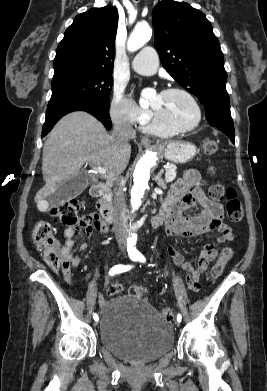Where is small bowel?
Returning <instances> with one entry per match:
<instances>
[{
	"label": "small bowel",
	"instance_id": "c3829d8e",
	"mask_svg": "<svg viewBox=\"0 0 267 391\" xmlns=\"http://www.w3.org/2000/svg\"><path fill=\"white\" fill-rule=\"evenodd\" d=\"M205 182L200 173L196 170L187 171L183 178L177 181L170 191V194L162 206L161 215L164 217L165 227L168 235L173 237H196L209 232H218V244L232 241L234 238L232 228L223 222V206L219 202L211 200L203 191ZM199 207V213L184 217L183 213L193 207ZM85 228L90 236L95 230L106 232L107 226L97 217L92 221L70 226L64 231V244L60 248L63 258V276L70 281L73 271L79 266L81 259L80 252L88 248L87 243L74 251L75 236ZM170 254L174 264L187 273L186 281L190 290L197 292L200 289L199 279L210 262L218 255V248L212 242L207 243L201 250L198 258L193 261H186L183 255L174 247H170Z\"/></svg>",
	"mask_w": 267,
	"mask_h": 391
}]
</instances>
